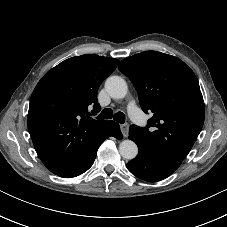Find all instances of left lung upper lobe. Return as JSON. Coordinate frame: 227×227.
Segmentation results:
<instances>
[{"label": "left lung upper lobe", "instance_id": "1", "mask_svg": "<svg viewBox=\"0 0 227 227\" xmlns=\"http://www.w3.org/2000/svg\"><path fill=\"white\" fill-rule=\"evenodd\" d=\"M119 70L135 86L147 127L132 125L140 144L170 159L182 161L197 139L205 117L198 80L180 59L157 51L127 57Z\"/></svg>", "mask_w": 227, "mask_h": 227}]
</instances>
